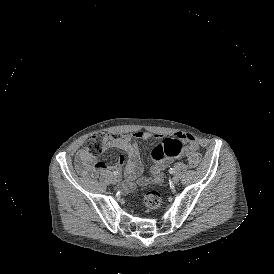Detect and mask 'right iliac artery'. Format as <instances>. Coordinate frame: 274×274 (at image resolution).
Returning a JSON list of instances; mask_svg holds the SVG:
<instances>
[{"instance_id":"right-iliac-artery-1","label":"right iliac artery","mask_w":274,"mask_h":274,"mask_svg":"<svg viewBox=\"0 0 274 274\" xmlns=\"http://www.w3.org/2000/svg\"><path fill=\"white\" fill-rule=\"evenodd\" d=\"M113 174H114L115 176H117V175L119 174V172H118V171H114Z\"/></svg>"}]
</instances>
